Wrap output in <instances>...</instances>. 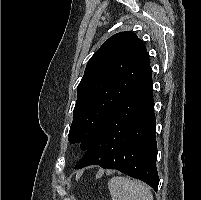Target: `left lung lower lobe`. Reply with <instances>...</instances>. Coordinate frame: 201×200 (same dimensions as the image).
Masks as SVG:
<instances>
[{
    "label": "left lung lower lobe",
    "instance_id": "left-lung-lower-lobe-1",
    "mask_svg": "<svg viewBox=\"0 0 201 200\" xmlns=\"http://www.w3.org/2000/svg\"><path fill=\"white\" fill-rule=\"evenodd\" d=\"M152 71L109 113L75 169H116L158 189Z\"/></svg>",
    "mask_w": 201,
    "mask_h": 200
}]
</instances>
